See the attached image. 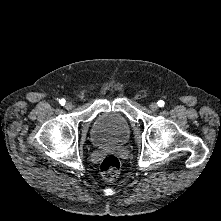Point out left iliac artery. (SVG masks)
<instances>
[{"mask_svg": "<svg viewBox=\"0 0 221 221\" xmlns=\"http://www.w3.org/2000/svg\"><path fill=\"white\" fill-rule=\"evenodd\" d=\"M157 104L159 107H163L165 103L163 100H159Z\"/></svg>", "mask_w": 221, "mask_h": 221, "instance_id": "left-iliac-artery-1", "label": "left iliac artery"}]
</instances>
